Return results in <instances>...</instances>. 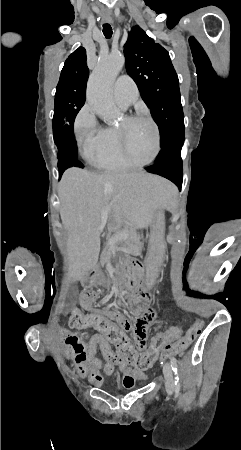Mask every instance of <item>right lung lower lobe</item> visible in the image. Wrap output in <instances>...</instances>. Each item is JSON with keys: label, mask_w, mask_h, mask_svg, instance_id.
Instances as JSON below:
<instances>
[{"label": "right lung lower lobe", "mask_w": 241, "mask_h": 450, "mask_svg": "<svg viewBox=\"0 0 241 450\" xmlns=\"http://www.w3.org/2000/svg\"><path fill=\"white\" fill-rule=\"evenodd\" d=\"M74 124V122H73ZM73 124L70 126L68 130V141H67V154H68V161L71 165V167H81L83 168V164L77 159V147L74 141V133H73Z\"/></svg>", "instance_id": "1"}]
</instances>
